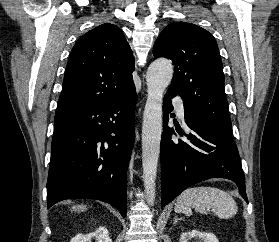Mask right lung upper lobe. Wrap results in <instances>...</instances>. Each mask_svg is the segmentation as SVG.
Returning a JSON list of instances; mask_svg holds the SVG:
<instances>
[{
	"label": "right lung upper lobe",
	"mask_w": 279,
	"mask_h": 242,
	"mask_svg": "<svg viewBox=\"0 0 279 242\" xmlns=\"http://www.w3.org/2000/svg\"><path fill=\"white\" fill-rule=\"evenodd\" d=\"M134 57L122 31L104 23L74 45L56 114L118 101L135 90Z\"/></svg>",
	"instance_id": "1"
}]
</instances>
